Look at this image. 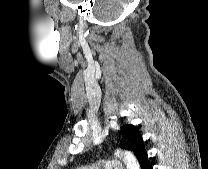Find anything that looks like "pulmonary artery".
I'll use <instances>...</instances> for the list:
<instances>
[{"label":"pulmonary artery","mask_w":208,"mask_h":169,"mask_svg":"<svg viewBox=\"0 0 208 169\" xmlns=\"http://www.w3.org/2000/svg\"><path fill=\"white\" fill-rule=\"evenodd\" d=\"M125 166L119 159H103L94 164H87L77 169H125Z\"/></svg>","instance_id":"e3ab8cb5"}]
</instances>
